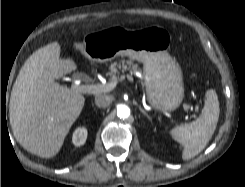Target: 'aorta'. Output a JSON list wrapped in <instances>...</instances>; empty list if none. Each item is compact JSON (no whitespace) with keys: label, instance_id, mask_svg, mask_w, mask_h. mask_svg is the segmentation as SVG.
Listing matches in <instances>:
<instances>
[{"label":"aorta","instance_id":"obj_1","mask_svg":"<svg viewBox=\"0 0 245 187\" xmlns=\"http://www.w3.org/2000/svg\"><path fill=\"white\" fill-rule=\"evenodd\" d=\"M129 115H130V109L128 106L121 104L117 107V116L119 118L124 119L129 117Z\"/></svg>","mask_w":245,"mask_h":187}]
</instances>
